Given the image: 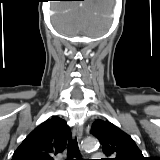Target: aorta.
<instances>
[{"label":"aorta","mask_w":160,"mask_h":160,"mask_svg":"<svg viewBox=\"0 0 160 160\" xmlns=\"http://www.w3.org/2000/svg\"><path fill=\"white\" fill-rule=\"evenodd\" d=\"M97 146V140L93 137H89V138H86L84 141H83V144H82V147L85 149V150H89V149H93Z\"/></svg>","instance_id":"obj_1"}]
</instances>
